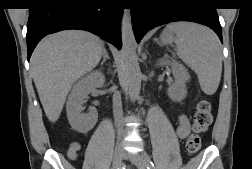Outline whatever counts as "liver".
Here are the masks:
<instances>
[{
  "label": "liver",
  "mask_w": 252,
  "mask_h": 169,
  "mask_svg": "<svg viewBox=\"0 0 252 169\" xmlns=\"http://www.w3.org/2000/svg\"><path fill=\"white\" fill-rule=\"evenodd\" d=\"M103 49L99 37L79 30L48 35L37 45L31 57L33 80L51 122L58 120L74 82L98 65Z\"/></svg>",
  "instance_id": "1"
}]
</instances>
